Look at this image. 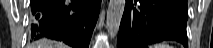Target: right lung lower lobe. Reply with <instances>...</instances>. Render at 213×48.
<instances>
[{
	"instance_id": "obj_1",
	"label": "right lung lower lobe",
	"mask_w": 213,
	"mask_h": 48,
	"mask_svg": "<svg viewBox=\"0 0 213 48\" xmlns=\"http://www.w3.org/2000/svg\"><path fill=\"white\" fill-rule=\"evenodd\" d=\"M100 6L101 0H31V38L88 48Z\"/></svg>"
}]
</instances>
